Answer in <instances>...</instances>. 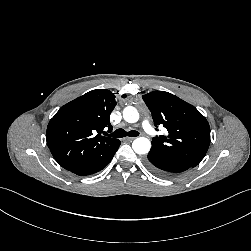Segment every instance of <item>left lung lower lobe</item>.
I'll use <instances>...</instances> for the list:
<instances>
[{"mask_svg":"<svg viewBox=\"0 0 251 251\" xmlns=\"http://www.w3.org/2000/svg\"><path fill=\"white\" fill-rule=\"evenodd\" d=\"M145 164L153 173L164 178L173 177L193 167L182 160L155 151L148 153Z\"/></svg>","mask_w":251,"mask_h":251,"instance_id":"obj_1","label":"left lung lower lobe"}]
</instances>
